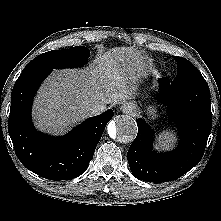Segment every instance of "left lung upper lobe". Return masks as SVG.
I'll list each match as a JSON object with an SVG mask.
<instances>
[{
    "label": "left lung upper lobe",
    "instance_id": "obj_1",
    "mask_svg": "<svg viewBox=\"0 0 221 221\" xmlns=\"http://www.w3.org/2000/svg\"><path fill=\"white\" fill-rule=\"evenodd\" d=\"M174 58L177 62L178 73L172 81L173 85L205 81L201 73L189 60L178 56H174Z\"/></svg>",
    "mask_w": 221,
    "mask_h": 221
}]
</instances>
